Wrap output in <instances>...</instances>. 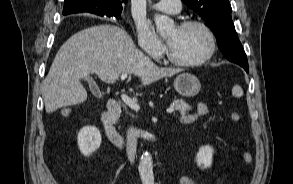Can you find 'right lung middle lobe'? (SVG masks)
Wrapping results in <instances>:
<instances>
[{"label": "right lung middle lobe", "instance_id": "obj_1", "mask_svg": "<svg viewBox=\"0 0 293 184\" xmlns=\"http://www.w3.org/2000/svg\"><path fill=\"white\" fill-rule=\"evenodd\" d=\"M102 15H106L108 17H114L116 19H118L121 15V11H109V10H106V11H103L102 12Z\"/></svg>", "mask_w": 293, "mask_h": 184}]
</instances>
